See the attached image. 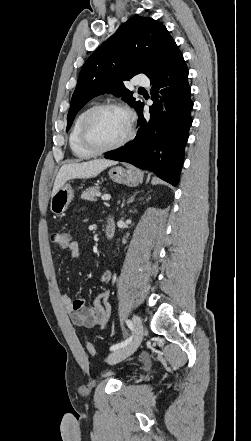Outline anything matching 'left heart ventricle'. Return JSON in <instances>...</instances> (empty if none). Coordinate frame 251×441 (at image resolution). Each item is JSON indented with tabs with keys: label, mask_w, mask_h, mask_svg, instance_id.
<instances>
[{
	"label": "left heart ventricle",
	"mask_w": 251,
	"mask_h": 441,
	"mask_svg": "<svg viewBox=\"0 0 251 441\" xmlns=\"http://www.w3.org/2000/svg\"><path fill=\"white\" fill-rule=\"evenodd\" d=\"M127 129L128 120L125 113L116 109H103L91 117L87 134L93 145L106 147L122 139Z\"/></svg>",
	"instance_id": "left-heart-ventricle-1"
}]
</instances>
